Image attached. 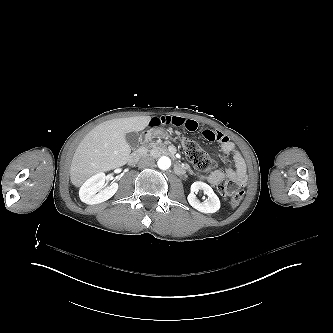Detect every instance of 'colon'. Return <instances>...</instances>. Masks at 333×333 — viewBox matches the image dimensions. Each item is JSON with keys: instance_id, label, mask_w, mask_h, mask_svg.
Returning <instances> with one entry per match:
<instances>
[{"instance_id": "colon-1", "label": "colon", "mask_w": 333, "mask_h": 333, "mask_svg": "<svg viewBox=\"0 0 333 333\" xmlns=\"http://www.w3.org/2000/svg\"><path fill=\"white\" fill-rule=\"evenodd\" d=\"M182 148L188 159L201 172L209 173L215 169L214 161L196 140L190 138L184 139L182 141ZM217 188L220 195L227 199L231 206H237L241 203L244 192L235 186L233 182L221 181L218 183Z\"/></svg>"}]
</instances>
